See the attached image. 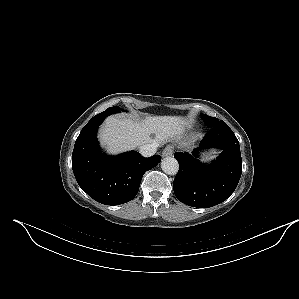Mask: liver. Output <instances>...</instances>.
Returning a JSON list of instances; mask_svg holds the SVG:
<instances>
[{
    "label": "liver",
    "mask_w": 299,
    "mask_h": 299,
    "mask_svg": "<svg viewBox=\"0 0 299 299\" xmlns=\"http://www.w3.org/2000/svg\"><path fill=\"white\" fill-rule=\"evenodd\" d=\"M187 124L180 116H148L142 121L111 116L100 129L99 137L109 152L118 153L144 144L179 140Z\"/></svg>",
    "instance_id": "6515ba94"
}]
</instances>
